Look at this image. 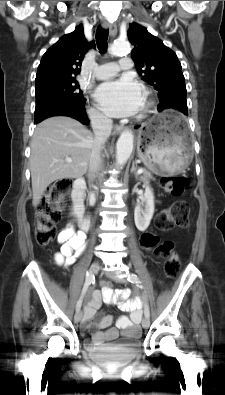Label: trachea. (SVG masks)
<instances>
[{
    "instance_id": "obj_1",
    "label": "trachea",
    "mask_w": 225,
    "mask_h": 395,
    "mask_svg": "<svg viewBox=\"0 0 225 395\" xmlns=\"http://www.w3.org/2000/svg\"><path fill=\"white\" fill-rule=\"evenodd\" d=\"M108 31L99 26L96 30V43L100 53H105L107 50Z\"/></svg>"
}]
</instances>
